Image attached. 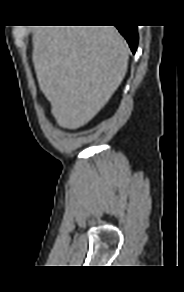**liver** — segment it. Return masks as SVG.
Here are the masks:
<instances>
[{
  "label": "liver",
  "instance_id": "1",
  "mask_svg": "<svg viewBox=\"0 0 184 292\" xmlns=\"http://www.w3.org/2000/svg\"><path fill=\"white\" fill-rule=\"evenodd\" d=\"M40 90L57 123L75 130L109 101L128 68L129 48L113 26H42L33 35Z\"/></svg>",
  "mask_w": 184,
  "mask_h": 292
}]
</instances>
